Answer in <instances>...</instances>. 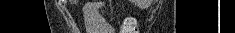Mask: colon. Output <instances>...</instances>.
<instances>
[{
  "mask_svg": "<svg viewBox=\"0 0 235 33\" xmlns=\"http://www.w3.org/2000/svg\"><path fill=\"white\" fill-rule=\"evenodd\" d=\"M122 32L137 33L135 21L131 18L126 19L123 23Z\"/></svg>",
  "mask_w": 235,
  "mask_h": 33,
  "instance_id": "colon-1",
  "label": "colon"
}]
</instances>
